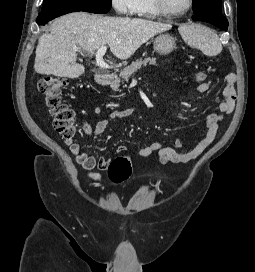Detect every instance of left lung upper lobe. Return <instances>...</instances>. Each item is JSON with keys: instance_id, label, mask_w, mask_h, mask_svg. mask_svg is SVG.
<instances>
[{"instance_id": "left-lung-upper-lobe-1", "label": "left lung upper lobe", "mask_w": 255, "mask_h": 272, "mask_svg": "<svg viewBox=\"0 0 255 272\" xmlns=\"http://www.w3.org/2000/svg\"><path fill=\"white\" fill-rule=\"evenodd\" d=\"M194 2L195 13L207 10V9H215L221 11V1L222 0H192Z\"/></svg>"}]
</instances>
